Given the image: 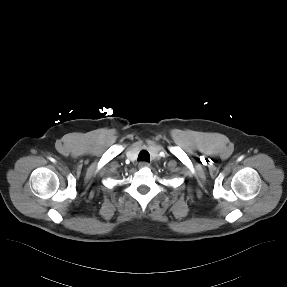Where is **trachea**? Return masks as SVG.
Masks as SVG:
<instances>
[{
  "label": "trachea",
  "instance_id": "trachea-1",
  "mask_svg": "<svg viewBox=\"0 0 287 287\" xmlns=\"http://www.w3.org/2000/svg\"><path fill=\"white\" fill-rule=\"evenodd\" d=\"M139 161H147L150 162V155L146 150H142L138 155Z\"/></svg>",
  "mask_w": 287,
  "mask_h": 287
}]
</instances>
